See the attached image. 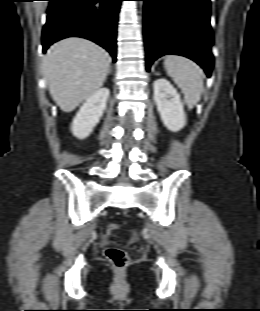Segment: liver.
Returning <instances> with one entry per match:
<instances>
[{
    "instance_id": "liver-1",
    "label": "liver",
    "mask_w": 260,
    "mask_h": 311,
    "mask_svg": "<svg viewBox=\"0 0 260 311\" xmlns=\"http://www.w3.org/2000/svg\"><path fill=\"white\" fill-rule=\"evenodd\" d=\"M110 60L95 43L71 37L55 43L43 58L50 95L64 112L73 111L103 85Z\"/></svg>"
}]
</instances>
